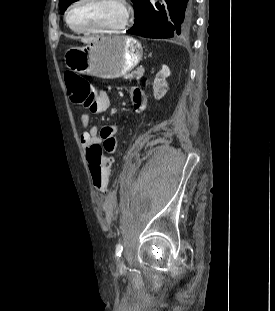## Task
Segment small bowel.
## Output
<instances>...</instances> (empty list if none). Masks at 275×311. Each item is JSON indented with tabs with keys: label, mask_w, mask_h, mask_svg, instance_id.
I'll return each instance as SVG.
<instances>
[{
	"label": "small bowel",
	"mask_w": 275,
	"mask_h": 311,
	"mask_svg": "<svg viewBox=\"0 0 275 311\" xmlns=\"http://www.w3.org/2000/svg\"><path fill=\"white\" fill-rule=\"evenodd\" d=\"M133 108L136 112H139L144 105V93L142 89L134 87L130 91ZM88 111L81 115V131H80V142L84 149L87 150L91 144H102L103 148L108 153H114L116 151V139L117 133L116 125H106L103 127L91 126L90 113H101L108 108V101L105 95H100L98 98L91 101L85 106Z\"/></svg>",
	"instance_id": "c3829d8e"
}]
</instances>
